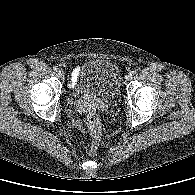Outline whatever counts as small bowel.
<instances>
[{
	"label": "small bowel",
	"mask_w": 195,
	"mask_h": 195,
	"mask_svg": "<svg viewBox=\"0 0 195 195\" xmlns=\"http://www.w3.org/2000/svg\"><path fill=\"white\" fill-rule=\"evenodd\" d=\"M79 73H80V68L79 67L75 68L74 71H73V73H72L71 80H70V86L73 87L75 85V83L78 80Z\"/></svg>",
	"instance_id": "c3829d8e"
}]
</instances>
